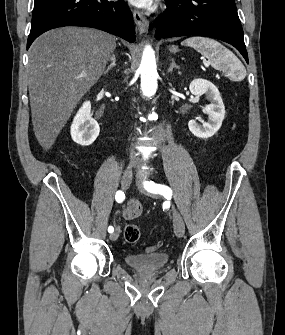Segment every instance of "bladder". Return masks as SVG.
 <instances>
[{
	"mask_svg": "<svg viewBox=\"0 0 285 335\" xmlns=\"http://www.w3.org/2000/svg\"><path fill=\"white\" fill-rule=\"evenodd\" d=\"M167 258H171L167 251L126 252L124 265H132V271L139 273L159 272L161 265H167Z\"/></svg>",
	"mask_w": 285,
	"mask_h": 335,
	"instance_id": "1",
	"label": "bladder"
}]
</instances>
